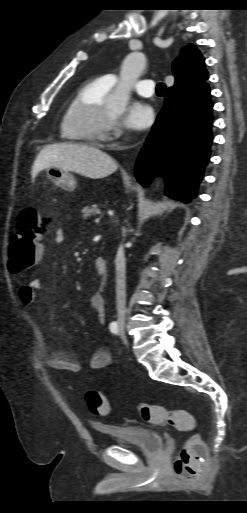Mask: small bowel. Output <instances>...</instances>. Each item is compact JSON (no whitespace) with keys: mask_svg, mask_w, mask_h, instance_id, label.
<instances>
[{"mask_svg":"<svg viewBox=\"0 0 247 513\" xmlns=\"http://www.w3.org/2000/svg\"><path fill=\"white\" fill-rule=\"evenodd\" d=\"M65 233L62 228H57L53 234V240L56 244H61L64 241ZM41 249L43 250L42 246ZM44 287L41 279L34 278L26 285L20 286L18 296L20 301L27 306L34 303L36 293L43 291ZM89 306L94 310L96 318L100 324H103L106 319L105 303L102 295L99 292H93L89 296ZM42 360L46 366L51 369L79 372L81 364L70 352H64L56 349L47 350L42 355ZM112 358L108 349L98 348L93 352L90 357L89 365L93 370H101L111 364Z\"/></svg>","mask_w":247,"mask_h":513,"instance_id":"small-bowel-1","label":"small bowel"}]
</instances>
